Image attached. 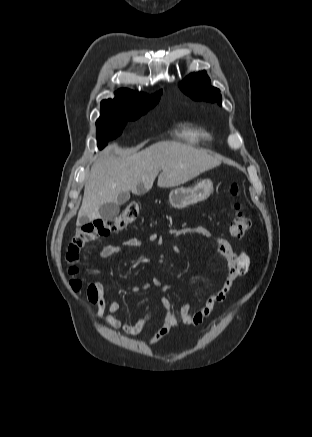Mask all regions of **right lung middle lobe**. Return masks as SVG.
I'll return each instance as SVG.
<instances>
[{
    "mask_svg": "<svg viewBox=\"0 0 312 437\" xmlns=\"http://www.w3.org/2000/svg\"><path fill=\"white\" fill-rule=\"evenodd\" d=\"M140 116L141 115L129 118L101 116L96 121L98 147L100 149L105 147L108 140L114 139L121 134L128 121L136 120Z\"/></svg>",
    "mask_w": 312,
    "mask_h": 437,
    "instance_id": "obj_1",
    "label": "right lung middle lobe"
}]
</instances>
